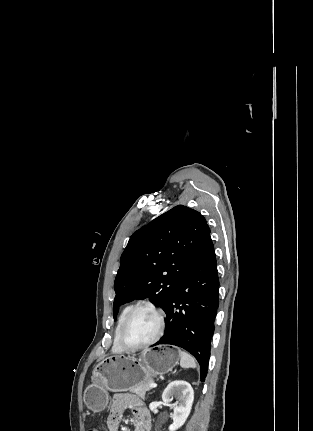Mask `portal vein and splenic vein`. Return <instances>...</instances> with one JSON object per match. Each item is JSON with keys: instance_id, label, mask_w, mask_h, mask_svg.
I'll use <instances>...</instances> for the list:
<instances>
[{"instance_id": "18ae733b", "label": "portal vein and splenic vein", "mask_w": 313, "mask_h": 431, "mask_svg": "<svg viewBox=\"0 0 313 431\" xmlns=\"http://www.w3.org/2000/svg\"><path fill=\"white\" fill-rule=\"evenodd\" d=\"M150 388H156L157 387V384H155V383H149V385H148Z\"/></svg>"}]
</instances>
